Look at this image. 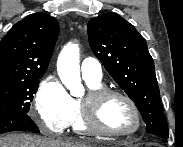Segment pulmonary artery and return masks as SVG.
<instances>
[{"mask_svg":"<svg viewBox=\"0 0 183 147\" xmlns=\"http://www.w3.org/2000/svg\"><path fill=\"white\" fill-rule=\"evenodd\" d=\"M81 74L85 81L100 83L103 72L100 62L94 58H86L81 63Z\"/></svg>","mask_w":183,"mask_h":147,"instance_id":"obj_1","label":"pulmonary artery"}]
</instances>
